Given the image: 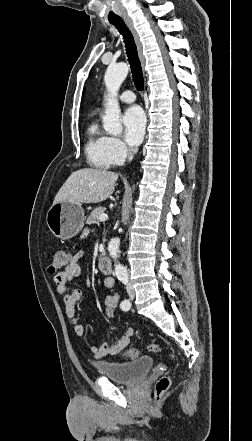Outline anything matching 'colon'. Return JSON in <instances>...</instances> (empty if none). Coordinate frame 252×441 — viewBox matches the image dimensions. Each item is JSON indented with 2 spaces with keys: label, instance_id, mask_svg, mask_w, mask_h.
I'll return each instance as SVG.
<instances>
[{
  "label": "colon",
  "instance_id": "1",
  "mask_svg": "<svg viewBox=\"0 0 252 441\" xmlns=\"http://www.w3.org/2000/svg\"><path fill=\"white\" fill-rule=\"evenodd\" d=\"M70 261L69 253L64 249H57L52 257L51 264L49 266V272L55 273L60 269L65 268ZM116 308L112 305H104L102 315L105 319H111L115 315ZM149 350L151 352H160L161 347L158 344H150ZM139 356V350L137 348H129L121 352V357L134 359ZM170 381L167 377L160 378L155 386L156 396L159 398L163 392L169 387Z\"/></svg>",
  "mask_w": 252,
  "mask_h": 441
}]
</instances>
